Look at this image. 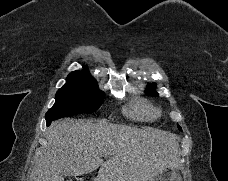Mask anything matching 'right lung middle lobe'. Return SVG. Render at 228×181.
Instances as JSON below:
<instances>
[{"label": "right lung middle lobe", "mask_w": 228, "mask_h": 181, "mask_svg": "<svg viewBox=\"0 0 228 181\" xmlns=\"http://www.w3.org/2000/svg\"><path fill=\"white\" fill-rule=\"evenodd\" d=\"M104 92L97 83L63 86L56 93V102L46 113L47 125L51 121L81 113L96 111L103 103Z\"/></svg>", "instance_id": "obj_1"}]
</instances>
